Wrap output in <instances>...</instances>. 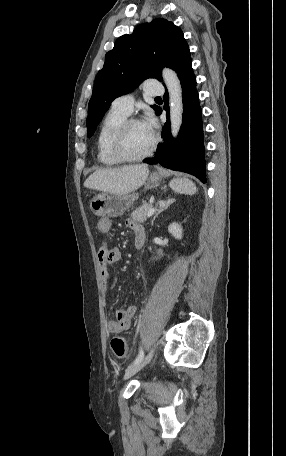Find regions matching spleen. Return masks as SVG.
I'll return each mask as SVG.
<instances>
[{"instance_id": "1", "label": "spleen", "mask_w": 286, "mask_h": 456, "mask_svg": "<svg viewBox=\"0 0 286 456\" xmlns=\"http://www.w3.org/2000/svg\"><path fill=\"white\" fill-rule=\"evenodd\" d=\"M170 187L173 191L180 194L194 195L197 192L196 185L186 178L171 181Z\"/></svg>"}]
</instances>
